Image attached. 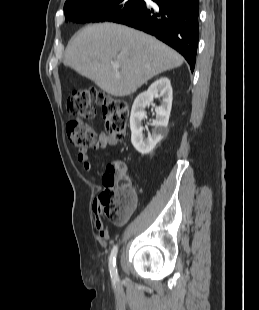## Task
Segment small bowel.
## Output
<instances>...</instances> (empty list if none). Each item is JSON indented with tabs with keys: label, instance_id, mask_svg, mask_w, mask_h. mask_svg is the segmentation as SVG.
<instances>
[{
	"label": "small bowel",
	"instance_id": "c3829d8e",
	"mask_svg": "<svg viewBox=\"0 0 259 310\" xmlns=\"http://www.w3.org/2000/svg\"><path fill=\"white\" fill-rule=\"evenodd\" d=\"M118 144V140L107 135V134H100L99 136V142L98 144L95 146V149H103L107 146H115ZM77 159L78 161L82 164L84 170L86 172H88L91 175L92 180L95 179V176L93 174V166L92 163L89 160V154H88V150L85 148H82L78 151L77 153ZM127 221V220H126ZM125 221V222H126ZM124 222V223H125ZM123 223V224H124ZM121 224V225H123ZM95 229L99 232L100 236L102 238H106L108 236V229L104 226L103 222L100 220H96L95 221Z\"/></svg>",
	"mask_w": 259,
	"mask_h": 310
}]
</instances>
